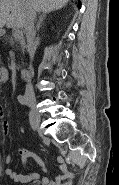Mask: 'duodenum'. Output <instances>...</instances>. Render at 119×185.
Masks as SVG:
<instances>
[{
  "label": "duodenum",
  "instance_id": "1",
  "mask_svg": "<svg viewBox=\"0 0 119 185\" xmlns=\"http://www.w3.org/2000/svg\"><path fill=\"white\" fill-rule=\"evenodd\" d=\"M20 75H21V78L23 80H28L32 75V71L30 69H27V68H22L20 70Z\"/></svg>",
  "mask_w": 119,
  "mask_h": 185
}]
</instances>
